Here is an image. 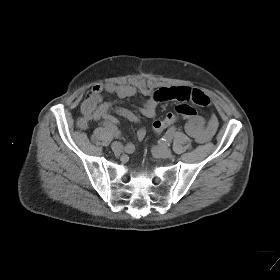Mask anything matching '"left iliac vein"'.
<instances>
[{
	"label": "left iliac vein",
	"mask_w": 280,
	"mask_h": 280,
	"mask_svg": "<svg viewBox=\"0 0 280 280\" xmlns=\"http://www.w3.org/2000/svg\"><path fill=\"white\" fill-rule=\"evenodd\" d=\"M155 154L160 158H170L172 156V152L167 147L158 146L154 148Z\"/></svg>",
	"instance_id": "4c4485c4"
}]
</instances>
